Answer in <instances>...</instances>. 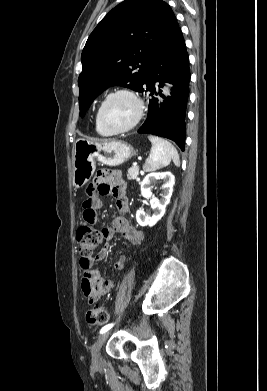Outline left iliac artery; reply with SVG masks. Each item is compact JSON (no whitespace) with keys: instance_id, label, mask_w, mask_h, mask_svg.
Masks as SVG:
<instances>
[{"instance_id":"1","label":"left iliac artery","mask_w":267,"mask_h":391,"mask_svg":"<svg viewBox=\"0 0 267 391\" xmlns=\"http://www.w3.org/2000/svg\"><path fill=\"white\" fill-rule=\"evenodd\" d=\"M113 325H114V324L111 323V324H108V325L104 326V327L101 329L100 333L102 334V333L108 331L109 329L112 328Z\"/></svg>"}]
</instances>
